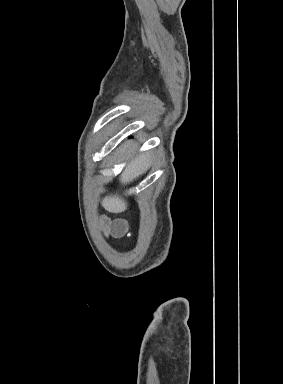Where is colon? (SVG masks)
Segmentation results:
<instances>
[{
    "mask_svg": "<svg viewBox=\"0 0 283 384\" xmlns=\"http://www.w3.org/2000/svg\"><path fill=\"white\" fill-rule=\"evenodd\" d=\"M126 230V225L124 222L118 221L113 225V232L115 235H122Z\"/></svg>",
    "mask_w": 283,
    "mask_h": 384,
    "instance_id": "5ec220e1",
    "label": "colon"
}]
</instances>
